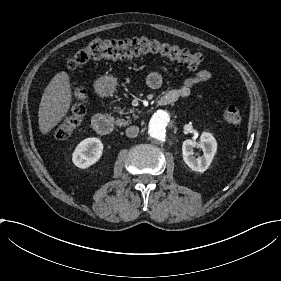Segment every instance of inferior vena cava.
I'll use <instances>...</instances> for the list:
<instances>
[{
    "label": "inferior vena cava",
    "instance_id": "obj_1",
    "mask_svg": "<svg viewBox=\"0 0 281 281\" xmlns=\"http://www.w3.org/2000/svg\"><path fill=\"white\" fill-rule=\"evenodd\" d=\"M139 133V128L137 126H130L126 129V136L129 138L137 137Z\"/></svg>",
    "mask_w": 281,
    "mask_h": 281
}]
</instances>
